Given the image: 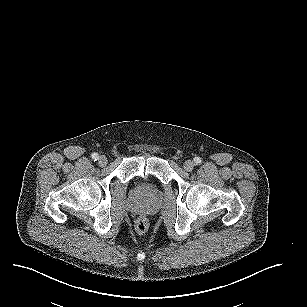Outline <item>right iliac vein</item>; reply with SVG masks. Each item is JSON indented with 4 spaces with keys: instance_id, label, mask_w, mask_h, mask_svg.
I'll return each instance as SVG.
<instances>
[{
    "instance_id": "1",
    "label": "right iliac vein",
    "mask_w": 307,
    "mask_h": 307,
    "mask_svg": "<svg viewBox=\"0 0 307 307\" xmlns=\"http://www.w3.org/2000/svg\"><path fill=\"white\" fill-rule=\"evenodd\" d=\"M107 162H108V160H107L106 156H101L99 158L98 164H99V166L104 167L107 164Z\"/></svg>"
}]
</instances>
